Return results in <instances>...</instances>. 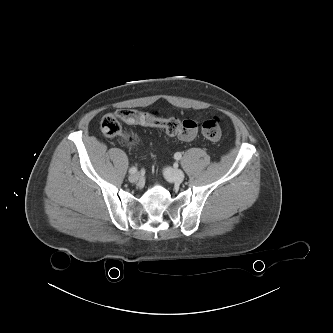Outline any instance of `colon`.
<instances>
[{
  "label": "colon",
  "instance_id": "obj_1",
  "mask_svg": "<svg viewBox=\"0 0 333 333\" xmlns=\"http://www.w3.org/2000/svg\"><path fill=\"white\" fill-rule=\"evenodd\" d=\"M121 122L161 127L168 134L178 136L185 141L194 140L198 135V125L193 120H180L176 117L163 119L151 113L125 109L104 115L100 122L102 133L106 136L121 135L123 143L129 147L135 146L139 142V137L133 132L123 133ZM201 131L205 138L218 140L222 135L220 119L213 117L204 121Z\"/></svg>",
  "mask_w": 333,
  "mask_h": 333
}]
</instances>
